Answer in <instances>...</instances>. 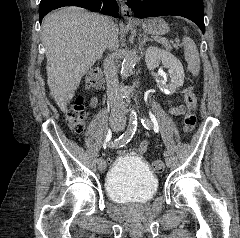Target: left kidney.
I'll list each match as a JSON object with an SVG mask.
<instances>
[{
    "label": "left kidney",
    "mask_w": 240,
    "mask_h": 238,
    "mask_svg": "<svg viewBox=\"0 0 240 238\" xmlns=\"http://www.w3.org/2000/svg\"><path fill=\"white\" fill-rule=\"evenodd\" d=\"M159 61L168 68L170 83L166 84L159 75H156V83L162 92L170 94L183 85L184 69L181 62L170 52L158 47H148L145 51V62L148 69L153 71L158 66Z\"/></svg>",
    "instance_id": "1"
}]
</instances>
